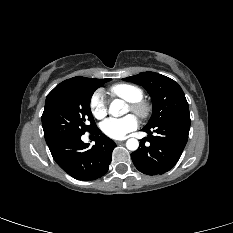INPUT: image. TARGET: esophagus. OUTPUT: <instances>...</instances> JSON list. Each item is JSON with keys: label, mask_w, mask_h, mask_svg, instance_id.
<instances>
[{"label": "esophagus", "mask_w": 233, "mask_h": 233, "mask_svg": "<svg viewBox=\"0 0 233 233\" xmlns=\"http://www.w3.org/2000/svg\"><path fill=\"white\" fill-rule=\"evenodd\" d=\"M122 142H123V141H116V144L119 145V144H121Z\"/></svg>", "instance_id": "34e87169"}]
</instances>
